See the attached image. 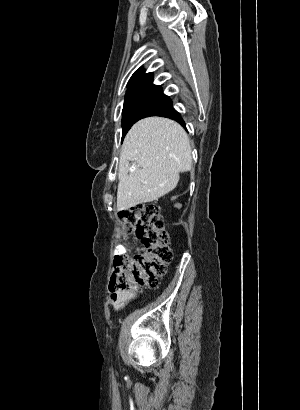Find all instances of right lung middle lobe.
Returning a JSON list of instances; mask_svg holds the SVG:
<instances>
[{
	"instance_id": "right-lung-middle-lobe-1",
	"label": "right lung middle lobe",
	"mask_w": 300,
	"mask_h": 410,
	"mask_svg": "<svg viewBox=\"0 0 300 410\" xmlns=\"http://www.w3.org/2000/svg\"><path fill=\"white\" fill-rule=\"evenodd\" d=\"M172 105L162 88L153 84H141L128 88L122 111V140L130 127L138 120L156 114Z\"/></svg>"
}]
</instances>
